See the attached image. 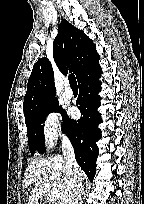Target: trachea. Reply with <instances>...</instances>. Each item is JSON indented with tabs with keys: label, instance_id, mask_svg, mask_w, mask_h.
<instances>
[{
	"label": "trachea",
	"instance_id": "trachea-1",
	"mask_svg": "<svg viewBox=\"0 0 144 204\" xmlns=\"http://www.w3.org/2000/svg\"><path fill=\"white\" fill-rule=\"evenodd\" d=\"M68 80H69V84L72 88H76L77 86V81H76V77L74 74H70L68 76Z\"/></svg>",
	"mask_w": 144,
	"mask_h": 204
}]
</instances>
